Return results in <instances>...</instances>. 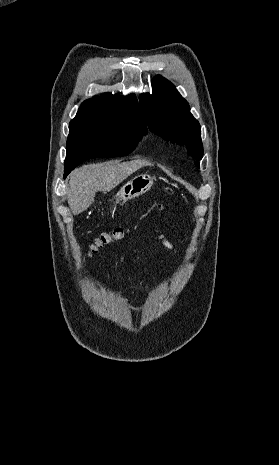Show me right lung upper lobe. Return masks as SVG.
Here are the masks:
<instances>
[{"mask_svg":"<svg viewBox=\"0 0 279 465\" xmlns=\"http://www.w3.org/2000/svg\"><path fill=\"white\" fill-rule=\"evenodd\" d=\"M109 123H130L140 126L145 132L147 130L135 95L120 97L110 93L85 100L71 120L69 129Z\"/></svg>","mask_w":279,"mask_h":465,"instance_id":"cb5924a9","label":"right lung upper lobe"}]
</instances>
